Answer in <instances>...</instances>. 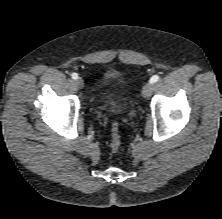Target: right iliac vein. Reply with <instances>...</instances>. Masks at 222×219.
Masks as SVG:
<instances>
[{
	"label": "right iliac vein",
	"mask_w": 222,
	"mask_h": 219,
	"mask_svg": "<svg viewBox=\"0 0 222 219\" xmlns=\"http://www.w3.org/2000/svg\"><path fill=\"white\" fill-rule=\"evenodd\" d=\"M75 84L78 88H83L84 87V80L82 78H77L75 80Z\"/></svg>",
	"instance_id": "63e3f726"
}]
</instances>
